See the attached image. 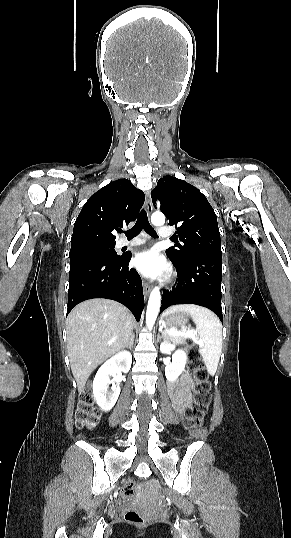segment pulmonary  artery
Segmentation results:
<instances>
[{
  "label": "pulmonary artery",
  "instance_id": "e3ab8cb5",
  "mask_svg": "<svg viewBox=\"0 0 291 538\" xmlns=\"http://www.w3.org/2000/svg\"><path fill=\"white\" fill-rule=\"evenodd\" d=\"M171 230L167 227H162L159 229V238L161 239H165V238H168L169 236H171ZM145 243V240L144 239H134L130 242H127V241H122L121 242V246H128V247H132V246H138V245H141Z\"/></svg>",
  "mask_w": 291,
  "mask_h": 538
}]
</instances>
